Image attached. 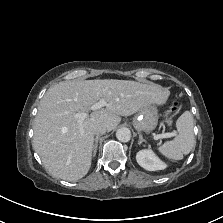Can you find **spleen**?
Returning <instances> with one entry per match:
<instances>
[{"label": "spleen", "instance_id": "obj_1", "mask_svg": "<svg viewBox=\"0 0 223 223\" xmlns=\"http://www.w3.org/2000/svg\"><path fill=\"white\" fill-rule=\"evenodd\" d=\"M176 128L178 135L171 141H166L161 145L159 152L172 160H182L196 145L193 132L194 119L189 111H185L177 120Z\"/></svg>", "mask_w": 223, "mask_h": 223}]
</instances>
